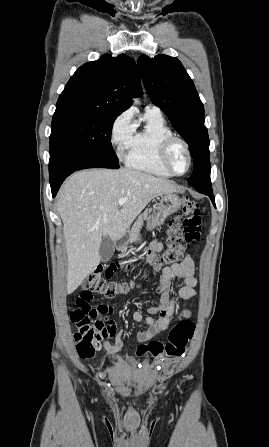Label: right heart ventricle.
Instances as JSON below:
<instances>
[{"mask_svg":"<svg viewBox=\"0 0 269 447\" xmlns=\"http://www.w3.org/2000/svg\"><path fill=\"white\" fill-rule=\"evenodd\" d=\"M174 135L161 114L146 110L142 117V126L134 131L126 164L154 175L171 177L172 173L160 159L162 142Z\"/></svg>","mask_w":269,"mask_h":447,"instance_id":"obj_1","label":"right heart ventricle"}]
</instances>
